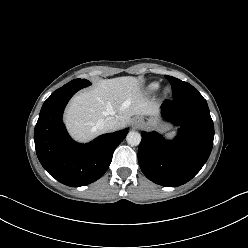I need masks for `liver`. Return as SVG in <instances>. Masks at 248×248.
<instances>
[{
	"mask_svg": "<svg viewBox=\"0 0 248 248\" xmlns=\"http://www.w3.org/2000/svg\"><path fill=\"white\" fill-rule=\"evenodd\" d=\"M158 105L149 101L141 92V82L135 77L104 79L87 91L75 95L65 113V123L71 135L86 142L104 130L97 122L112 116L124 128L133 115L152 116Z\"/></svg>",
	"mask_w": 248,
	"mask_h": 248,
	"instance_id": "obj_1",
	"label": "liver"
}]
</instances>
